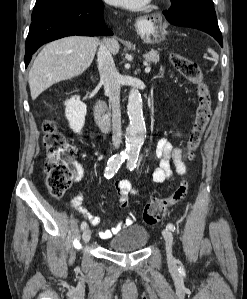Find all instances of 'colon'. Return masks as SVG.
I'll use <instances>...</instances> for the list:
<instances>
[{"label":"colon","instance_id":"obj_1","mask_svg":"<svg viewBox=\"0 0 247 299\" xmlns=\"http://www.w3.org/2000/svg\"><path fill=\"white\" fill-rule=\"evenodd\" d=\"M171 62L195 86L197 108L187 140V156L189 159H193L211 118L212 99L208 86L203 80L202 71L196 62L179 53L171 55ZM43 131V142L46 149L45 183L53 196L61 197L70 187L75 176L72 167L75 147L59 132L54 122L45 121ZM189 185V179H183L169 197L152 198L143 210V221L148 225L159 222L169 207L183 200Z\"/></svg>","mask_w":247,"mask_h":299}]
</instances>
